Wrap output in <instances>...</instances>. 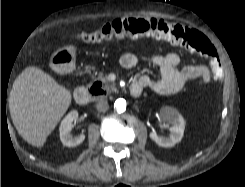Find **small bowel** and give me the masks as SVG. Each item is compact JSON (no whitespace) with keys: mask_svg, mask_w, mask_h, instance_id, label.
Returning a JSON list of instances; mask_svg holds the SVG:
<instances>
[{"mask_svg":"<svg viewBox=\"0 0 245 187\" xmlns=\"http://www.w3.org/2000/svg\"><path fill=\"white\" fill-rule=\"evenodd\" d=\"M179 56L170 52L163 56H154L151 63L160 71V77L153 79L147 75L135 78L132 85L143 89H149L151 92L167 96L180 91L189 81H195L199 84H205L210 81L211 74L204 65H190L181 69L179 66ZM120 64L125 69H133L138 64V58L132 53H125L120 58Z\"/></svg>","mask_w":245,"mask_h":187,"instance_id":"small-bowel-1","label":"small bowel"}]
</instances>
